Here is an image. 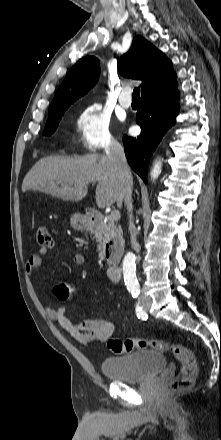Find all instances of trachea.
I'll list each match as a JSON object with an SVG mask.
<instances>
[{
    "instance_id": "obj_1",
    "label": "trachea",
    "mask_w": 221,
    "mask_h": 440,
    "mask_svg": "<svg viewBox=\"0 0 221 440\" xmlns=\"http://www.w3.org/2000/svg\"><path fill=\"white\" fill-rule=\"evenodd\" d=\"M133 99H139L140 97V88H135L132 94Z\"/></svg>"
}]
</instances>
